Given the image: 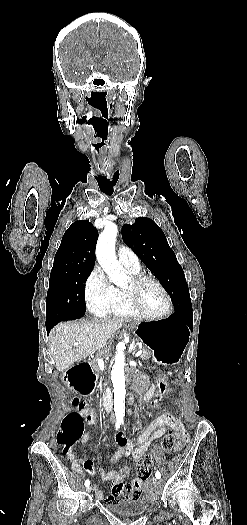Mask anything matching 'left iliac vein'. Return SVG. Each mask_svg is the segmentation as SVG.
I'll list each match as a JSON object with an SVG mask.
<instances>
[{
    "mask_svg": "<svg viewBox=\"0 0 247 525\" xmlns=\"http://www.w3.org/2000/svg\"><path fill=\"white\" fill-rule=\"evenodd\" d=\"M153 484H156L157 483V480L155 478H153Z\"/></svg>",
    "mask_w": 247,
    "mask_h": 525,
    "instance_id": "4c4485c4",
    "label": "left iliac vein"
}]
</instances>
